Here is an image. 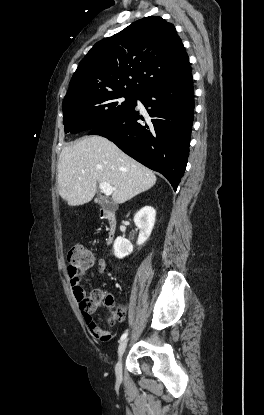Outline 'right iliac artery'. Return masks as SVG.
<instances>
[{
    "label": "right iliac artery",
    "instance_id": "obj_1",
    "mask_svg": "<svg viewBox=\"0 0 264 415\" xmlns=\"http://www.w3.org/2000/svg\"><path fill=\"white\" fill-rule=\"evenodd\" d=\"M127 335H128V331L122 334V336L120 337V341H123L127 337Z\"/></svg>",
    "mask_w": 264,
    "mask_h": 415
}]
</instances>
